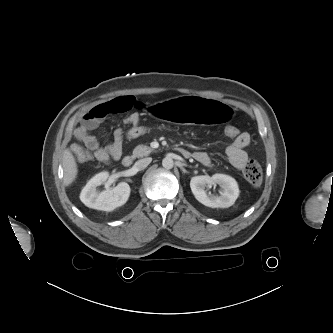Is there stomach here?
<instances>
[{
    "mask_svg": "<svg viewBox=\"0 0 333 333\" xmlns=\"http://www.w3.org/2000/svg\"><path fill=\"white\" fill-rule=\"evenodd\" d=\"M145 113L161 121L221 127L233 124L237 116L233 105L214 101L201 94L150 101L145 106Z\"/></svg>",
    "mask_w": 333,
    "mask_h": 333,
    "instance_id": "obj_1",
    "label": "stomach"
}]
</instances>
